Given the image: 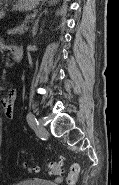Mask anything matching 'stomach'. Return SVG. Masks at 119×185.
Instances as JSON below:
<instances>
[{
  "mask_svg": "<svg viewBox=\"0 0 119 185\" xmlns=\"http://www.w3.org/2000/svg\"><path fill=\"white\" fill-rule=\"evenodd\" d=\"M41 0H19L15 8L19 11H30L34 9ZM4 16V13L0 11V18Z\"/></svg>",
  "mask_w": 119,
  "mask_h": 185,
  "instance_id": "1",
  "label": "stomach"
}]
</instances>
